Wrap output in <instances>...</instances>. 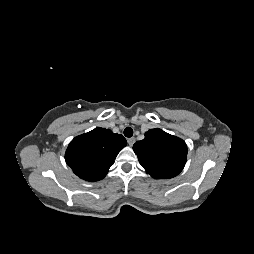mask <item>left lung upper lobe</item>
<instances>
[{"instance_id": "5c2ea615", "label": "left lung upper lobe", "mask_w": 254, "mask_h": 254, "mask_svg": "<svg viewBox=\"0 0 254 254\" xmlns=\"http://www.w3.org/2000/svg\"><path fill=\"white\" fill-rule=\"evenodd\" d=\"M133 150L146 172L157 179L175 177L186 163L185 142L159 128L146 132L145 138L137 141Z\"/></svg>"}]
</instances>
